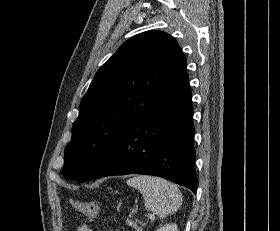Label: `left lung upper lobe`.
Returning <instances> with one entry per match:
<instances>
[{"label": "left lung upper lobe", "instance_id": "1", "mask_svg": "<svg viewBox=\"0 0 280 231\" xmlns=\"http://www.w3.org/2000/svg\"><path fill=\"white\" fill-rule=\"evenodd\" d=\"M186 78L185 56L169 34L151 30L124 42L81 100L63 176L87 181L122 133Z\"/></svg>", "mask_w": 280, "mask_h": 231}]
</instances>
